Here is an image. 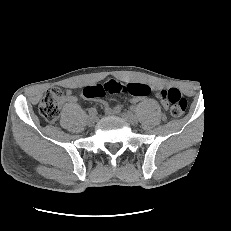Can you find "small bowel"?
<instances>
[{"label": "small bowel", "mask_w": 231, "mask_h": 231, "mask_svg": "<svg viewBox=\"0 0 231 231\" xmlns=\"http://www.w3.org/2000/svg\"><path fill=\"white\" fill-rule=\"evenodd\" d=\"M150 87V90L153 89L155 91L158 92V96L161 98V89H162V86L159 85V84H152ZM141 97H135L133 96V100L134 101H138ZM77 100V98L72 95L71 93H68L65 98H64V101L65 102H69V103H73ZM104 108H105V111L108 113V114H115V113H118L120 111V107L118 105L116 106H110L106 103H104Z\"/></svg>", "instance_id": "1"}]
</instances>
